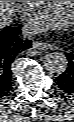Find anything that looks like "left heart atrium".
<instances>
[{
	"mask_svg": "<svg viewBox=\"0 0 74 122\" xmlns=\"http://www.w3.org/2000/svg\"><path fill=\"white\" fill-rule=\"evenodd\" d=\"M62 22V18L56 16L49 7H45L33 20V27L35 30L44 31L50 28H57Z\"/></svg>",
	"mask_w": 74,
	"mask_h": 122,
	"instance_id": "left-heart-atrium-1",
	"label": "left heart atrium"
}]
</instances>
